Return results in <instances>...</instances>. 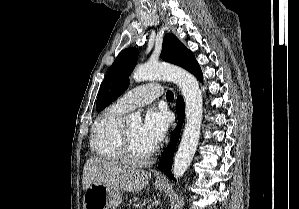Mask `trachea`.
Listing matches in <instances>:
<instances>
[{"mask_svg": "<svg viewBox=\"0 0 299 209\" xmlns=\"http://www.w3.org/2000/svg\"><path fill=\"white\" fill-rule=\"evenodd\" d=\"M166 98L169 101H172L174 99V94L171 91H167Z\"/></svg>", "mask_w": 299, "mask_h": 209, "instance_id": "1", "label": "trachea"}]
</instances>
